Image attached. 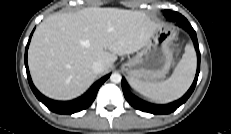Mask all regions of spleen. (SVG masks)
<instances>
[{
	"label": "spleen",
	"mask_w": 231,
	"mask_h": 134,
	"mask_svg": "<svg viewBox=\"0 0 231 134\" xmlns=\"http://www.w3.org/2000/svg\"><path fill=\"white\" fill-rule=\"evenodd\" d=\"M196 52L192 44L185 46V53L172 75L165 81L147 83L130 79L131 87L153 102L168 103L180 98L190 87L196 71Z\"/></svg>",
	"instance_id": "3e777b00"
}]
</instances>
